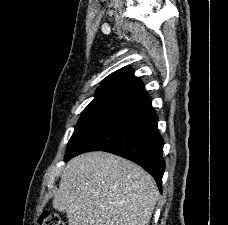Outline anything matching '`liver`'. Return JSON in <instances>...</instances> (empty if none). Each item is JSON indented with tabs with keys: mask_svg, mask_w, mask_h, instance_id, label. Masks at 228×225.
Listing matches in <instances>:
<instances>
[{
	"mask_svg": "<svg viewBox=\"0 0 228 225\" xmlns=\"http://www.w3.org/2000/svg\"><path fill=\"white\" fill-rule=\"evenodd\" d=\"M159 193L146 171L110 153H84L67 163L53 207L69 225H148Z\"/></svg>",
	"mask_w": 228,
	"mask_h": 225,
	"instance_id": "1",
	"label": "liver"
}]
</instances>
